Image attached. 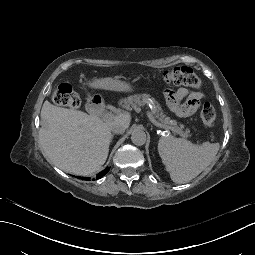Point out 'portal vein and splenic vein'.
Here are the masks:
<instances>
[{
    "mask_svg": "<svg viewBox=\"0 0 255 255\" xmlns=\"http://www.w3.org/2000/svg\"><path fill=\"white\" fill-rule=\"evenodd\" d=\"M125 114V111L123 109H114L112 111H108L103 113L101 116H98V119L106 120L108 118H114L116 116H123ZM145 115H148V112H145ZM150 123L154 125L159 131L162 130H168L169 132H174L175 134H178L182 139H185L187 137V134L180 130L178 127H173L172 125H168L167 123L161 124L159 121H157L153 117H149Z\"/></svg>",
    "mask_w": 255,
    "mask_h": 255,
    "instance_id": "18ae733b",
    "label": "portal vein and splenic vein"
}]
</instances>
